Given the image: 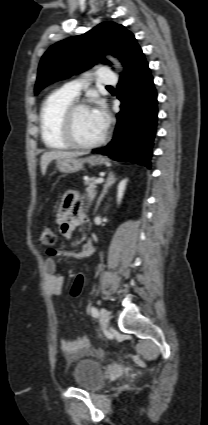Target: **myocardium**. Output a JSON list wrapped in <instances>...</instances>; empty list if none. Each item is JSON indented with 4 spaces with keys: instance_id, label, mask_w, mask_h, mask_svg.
I'll return each instance as SVG.
<instances>
[{
    "instance_id": "1",
    "label": "myocardium",
    "mask_w": 208,
    "mask_h": 425,
    "mask_svg": "<svg viewBox=\"0 0 208 425\" xmlns=\"http://www.w3.org/2000/svg\"><path fill=\"white\" fill-rule=\"evenodd\" d=\"M90 109V106L83 102H73L64 112L62 117V135L69 145L76 149L88 150L101 146L107 138V131L94 142L83 143L79 141L74 133V119L79 110Z\"/></svg>"
}]
</instances>
